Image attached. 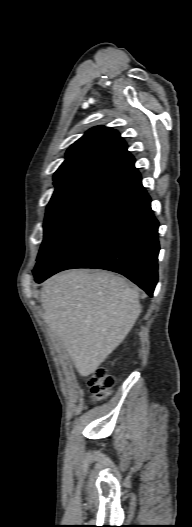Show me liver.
Masks as SVG:
<instances>
[{
  "label": "liver",
  "mask_w": 192,
  "mask_h": 527,
  "mask_svg": "<svg viewBox=\"0 0 192 527\" xmlns=\"http://www.w3.org/2000/svg\"><path fill=\"white\" fill-rule=\"evenodd\" d=\"M40 301L45 322L84 377L124 340L141 313L138 290L105 271L55 275L43 284Z\"/></svg>",
  "instance_id": "1"
}]
</instances>
